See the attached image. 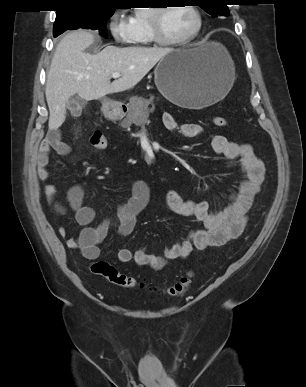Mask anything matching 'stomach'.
I'll use <instances>...</instances> for the list:
<instances>
[{"mask_svg":"<svg viewBox=\"0 0 306 387\" xmlns=\"http://www.w3.org/2000/svg\"><path fill=\"white\" fill-rule=\"evenodd\" d=\"M155 84L172 103L201 109L223 99L233 86L235 70L228 51L216 42L167 53L157 64ZM102 112L111 120L124 116L119 102L102 100Z\"/></svg>","mask_w":306,"mask_h":387,"instance_id":"stomach-1","label":"stomach"}]
</instances>
